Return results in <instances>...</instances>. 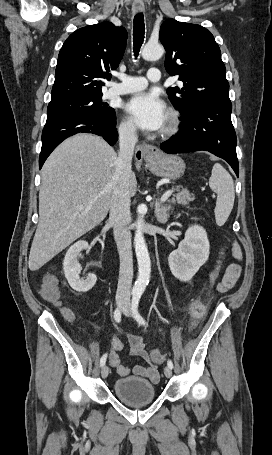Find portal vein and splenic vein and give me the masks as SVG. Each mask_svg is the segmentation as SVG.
I'll return each mask as SVG.
<instances>
[{
	"label": "portal vein and splenic vein",
	"instance_id": "obj_1",
	"mask_svg": "<svg viewBox=\"0 0 272 455\" xmlns=\"http://www.w3.org/2000/svg\"><path fill=\"white\" fill-rule=\"evenodd\" d=\"M172 193H173V189H170V190L166 191V192L163 194L161 200H162V201H166V200L171 196Z\"/></svg>",
	"mask_w": 272,
	"mask_h": 455
}]
</instances>
